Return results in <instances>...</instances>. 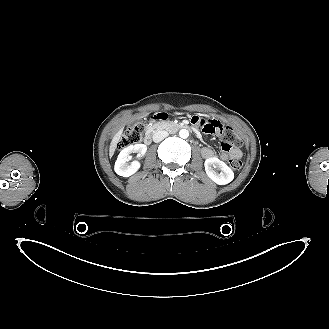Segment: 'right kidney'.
I'll return each instance as SVG.
<instances>
[{
    "instance_id": "right-kidney-1",
    "label": "right kidney",
    "mask_w": 329,
    "mask_h": 329,
    "mask_svg": "<svg viewBox=\"0 0 329 329\" xmlns=\"http://www.w3.org/2000/svg\"><path fill=\"white\" fill-rule=\"evenodd\" d=\"M147 151V146L145 144H135L129 145L124 148L115 162L114 170L115 172L123 177H129L136 173L140 168V162L135 160L131 163H128L130 160V154L137 153L138 157L144 156Z\"/></svg>"
}]
</instances>
